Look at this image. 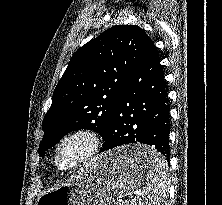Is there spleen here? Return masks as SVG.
Segmentation results:
<instances>
[{"label": "spleen", "mask_w": 222, "mask_h": 205, "mask_svg": "<svg viewBox=\"0 0 222 205\" xmlns=\"http://www.w3.org/2000/svg\"><path fill=\"white\" fill-rule=\"evenodd\" d=\"M149 161L146 177L145 195L138 199V205H167L168 164L160 154L153 155Z\"/></svg>", "instance_id": "obj_1"}]
</instances>
